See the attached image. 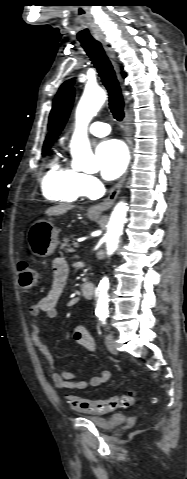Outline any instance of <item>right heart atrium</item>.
Wrapping results in <instances>:
<instances>
[{
    "instance_id": "1",
    "label": "right heart atrium",
    "mask_w": 187,
    "mask_h": 479,
    "mask_svg": "<svg viewBox=\"0 0 187 479\" xmlns=\"http://www.w3.org/2000/svg\"><path fill=\"white\" fill-rule=\"evenodd\" d=\"M79 183L83 194L88 196L95 195L100 187V181L95 176L84 173L80 174Z\"/></svg>"
}]
</instances>
